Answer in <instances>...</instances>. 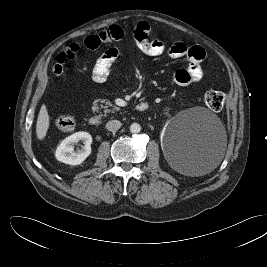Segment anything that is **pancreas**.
Returning a JSON list of instances; mask_svg holds the SVG:
<instances>
[{"label":"pancreas","instance_id":"1","mask_svg":"<svg viewBox=\"0 0 267 267\" xmlns=\"http://www.w3.org/2000/svg\"><path fill=\"white\" fill-rule=\"evenodd\" d=\"M100 101V103H101V108H105V112H108L109 110L108 109H106L107 107H113V112L115 111V110H117L118 109V107H116L115 105H113L110 101H106L105 99H103V100H99ZM102 104H105V106L104 105H102ZM94 111H97V110H99V106L97 105V103L96 102H94V106H93V108H92Z\"/></svg>","mask_w":267,"mask_h":267}]
</instances>
